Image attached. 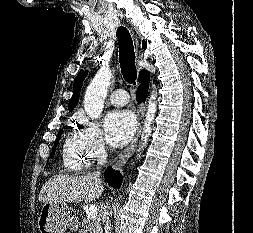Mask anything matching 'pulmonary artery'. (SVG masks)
I'll return each mask as SVG.
<instances>
[{"label":"pulmonary artery","instance_id":"1","mask_svg":"<svg viewBox=\"0 0 253 233\" xmlns=\"http://www.w3.org/2000/svg\"><path fill=\"white\" fill-rule=\"evenodd\" d=\"M109 101L116 107L125 106L129 101V95L125 90L118 89L111 93Z\"/></svg>","mask_w":253,"mask_h":233}]
</instances>
